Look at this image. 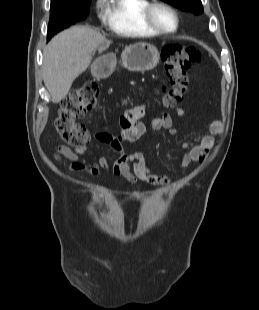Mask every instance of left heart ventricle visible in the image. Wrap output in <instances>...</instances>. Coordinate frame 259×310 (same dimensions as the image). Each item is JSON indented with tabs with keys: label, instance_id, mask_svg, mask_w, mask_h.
Here are the masks:
<instances>
[{
	"label": "left heart ventricle",
	"instance_id": "b2bd125f",
	"mask_svg": "<svg viewBox=\"0 0 259 310\" xmlns=\"http://www.w3.org/2000/svg\"><path fill=\"white\" fill-rule=\"evenodd\" d=\"M153 16L156 23L162 28L171 30L175 27V19L169 11L163 8H157Z\"/></svg>",
	"mask_w": 259,
	"mask_h": 310
}]
</instances>
